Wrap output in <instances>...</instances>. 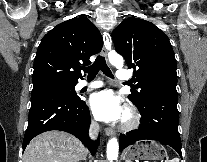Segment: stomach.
I'll return each instance as SVG.
<instances>
[{
    "mask_svg": "<svg viewBox=\"0 0 207 162\" xmlns=\"http://www.w3.org/2000/svg\"><path fill=\"white\" fill-rule=\"evenodd\" d=\"M166 157L165 148L154 141L137 142L124 152L126 162H133V160H162Z\"/></svg>",
    "mask_w": 207,
    "mask_h": 162,
    "instance_id": "1",
    "label": "stomach"
}]
</instances>
